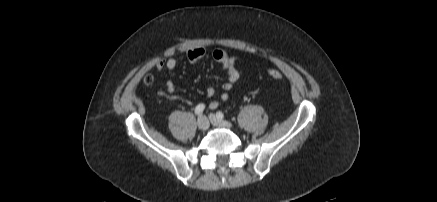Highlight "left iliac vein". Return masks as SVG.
I'll list each match as a JSON object with an SVG mask.
<instances>
[{
    "label": "left iliac vein",
    "mask_w": 437,
    "mask_h": 202,
    "mask_svg": "<svg viewBox=\"0 0 437 202\" xmlns=\"http://www.w3.org/2000/svg\"><path fill=\"white\" fill-rule=\"evenodd\" d=\"M209 119L214 126L231 128L232 124L226 120L217 118L214 114L209 115Z\"/></svg>",
    "instance_id": "obj_1"
}]
</instances>
